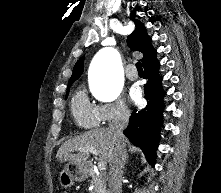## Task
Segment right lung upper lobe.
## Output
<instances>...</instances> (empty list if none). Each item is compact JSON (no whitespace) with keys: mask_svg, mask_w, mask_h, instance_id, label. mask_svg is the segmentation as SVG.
I'll return each mask as SVG.
<instances>
[{"mask_svg":"<svg viewBox=\"0 0 221 193\" xmlns=\"http://www.w3.org/2000/svg\"><path fill=\"white\" fill-rule=\"evenodd\" d=\"M135 24L136 29L129 35L127 43L133 51H139L143 53V58L141 61L143 63V67H147L157 62V52L151 45V39L146 33L145 26L139 20H136ZM83 61L84 57L80 58L76 62L73 69V74L69 80V84L75 82L83 73Z\"/></svg>","mask_w":221,"mask_h":193,"instance_id":"right-lung-upper-lobe-1","label":"right lung upper lobe"}]
</instances>
